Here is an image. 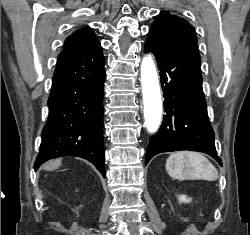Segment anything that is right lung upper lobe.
Returning <instances> with one entry per match:
<instances>
[{
  "mask_svg": "<svg viewBox=\"0 0 250 235\" xmlns=\"http://www.w3.org/2000/svg\"><path fill=\"white\" fill-rule=\"evenodd\" d=\"M99 42L91 28L79 30L74 34L67 37L64 42V50L59 54V57L77 50L82 49L85 46Z\"/></svg>",
  "mask_w": 250,
  "mask_h": 235,
  "instance_id": "obj_1",
  "label": "right lung upper lobe"
}]
</instances>
